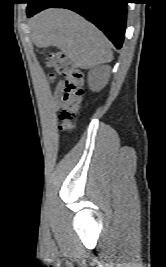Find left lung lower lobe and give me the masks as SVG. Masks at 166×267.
Returning <instances> with one entry per match:
<instances>
[{
  "mask_svg": "<svg viewBox=\"0 0 166 267\" xmlns=\"http://www.w3.org/2000/svg\"><path fill=\"white\" fill-rule=\"evenodd\" d=\"M27 16L50 7L78 12L95 24L120 49L125 35L129 0H28Z\"/></svg>",
  "mask_w": 166,
  "mask_h": 267,
  "instance_id": "1",
  "label": "left lung lower lobe"
}]
</instances>
